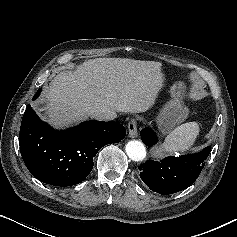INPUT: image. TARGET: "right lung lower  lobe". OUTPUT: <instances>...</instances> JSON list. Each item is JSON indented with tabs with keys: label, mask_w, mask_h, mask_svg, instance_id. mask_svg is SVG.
I'll return each instance as SVG.
<instances>
[{
	"label": "right lung lower lobe",
	"mask_w": 237,
	"mask_h": 237,
	"mask_svg": "<svg viewBox=\"0 0 237 237\" xmlns=\"http://www.w3.org/2000/svg\"><path fill=\"white\" fill-rule=\"evenodd\" d=\"M41 89L34 95L35 100ZM126 134L118 122L87 121L65 131L52 129L27 106L20 128V150L28 170L41 182L66 187L79 184L91 172L93 157L105 145Z\"/></svg>",
	"instance_id": "obj_1"
}]
</instances>
